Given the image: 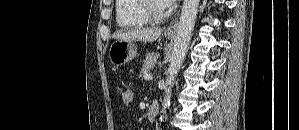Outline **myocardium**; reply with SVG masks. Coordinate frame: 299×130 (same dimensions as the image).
Wrapping results in <instances>:
<instances>
[{
	"instance_id": "myocardium-1",
	"label": "myocardium",
	"mask_w": 299,
	"mask_h": 130,
	"mask_svg": "<svg viewBox=\"0 0 299 130\" xmlns=\"http://www.w3.org/2000/svg\"><path fill=\"white\" fill-rule=\"evenodd\" d=\"M141 9L151 21H159L169 15V6L161 0H142Z\"/></svg>"
}]
</instances>
